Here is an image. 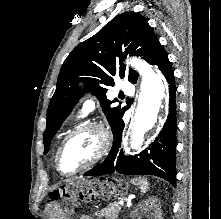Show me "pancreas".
<instances>
[{"mask_svg": "<svg viewBox=\"0 0 221 219\" xmlns=\"http://www.w3.org/2000/svg\"><path fill=\"white\" fill-rule=\"evenodd\" d=\"M121 210V207L116 203L109 204L106 208L95 212L99 218L116 219Z\"/></svg>", "mask_w": 221, "mask_h": 219, "instance_id": "pancreas-1", "label": "pancreas"}]
</instances>
